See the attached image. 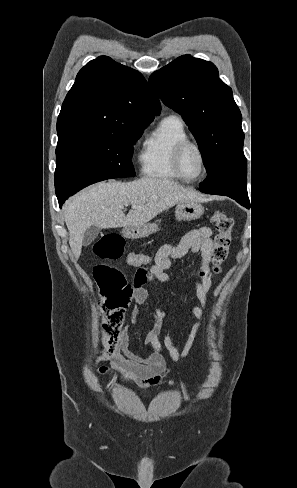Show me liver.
I'll use <instances>...</instances> for the list:
<instances>
[{
  "label": "liver",
  "instance_id": "1",
  "mask_svg": "<svg viewBox=\"0 0 297 488\" xmlns=\"http://www.w3.org/2000/svg\"><path fill=\"white\" fill-rule=\"evenodd\" d=\"M203 195L176 182L144 177L132 182L109 180L90 186L65 205L69 244L75 258L82 250L84 233L90 226L102 229L139 226L159 213L186 201H202ZM136 205L125 216L124 206Z\"/></svg>",
  "mask_w": 297,
  "mask_h": 488
}]
</instances>
